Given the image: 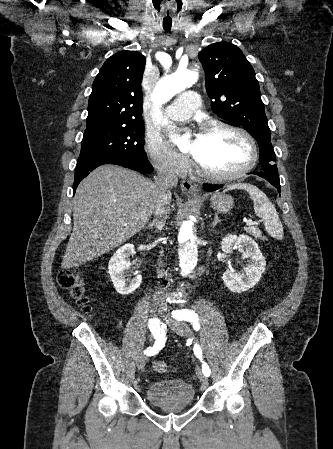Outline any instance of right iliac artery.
<instances>
[{
	"mask_svg": "<svg viewBox=\"0 0 333 449\" xmlns=\"http://www.w3.org/2000/svg\"><path fill=\"white\" fill-rule=\"evenodd\" d=\"M149 329L156 341L153 347H149L144 351V354L151 356L157 354L163 348L164 336L162 335V331L160 332V321L158 319L149 320Z\"/></svg>",
	"mask_w": 333,
	"mask_h": 449,
	"instance_id": "obj_1",
	"label": "right iliac artery"
}]
</instances>
